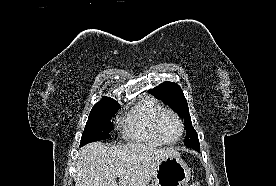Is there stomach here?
Returning <instances> with one entry per match:
<instances>
[{
  "label": "stomach",
  "mask_w": 276,
  "mask_h": 186,
  "mask_svg": "<svg viewBox=\"0 0 276 186\" xmlns=\"http://www.w3.org/2000/svg\"><path fill=\"white\" fill-rule=\"evenodd\" d=\"M154 177L152 186H185L191 171L180 155H172L160 163Z\"/></svg>",
  "instance_id": "0dacf381"
}]
</instances>
